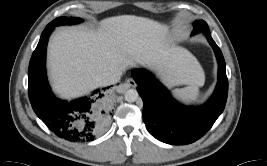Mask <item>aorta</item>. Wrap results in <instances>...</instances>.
Masks as SVG:
<instances>
[{
    "label": "aorta",
    "mask_w": 267,
    "mask_h": 166,
    "mask_svg": "<svg viewBox=\"0 0 267 166\" xmlns=\"http://www.w3.org/2000/svg\"><path fill=\"white\" fill-rule=\"evenodd\" d=\"M124 96L127 102H135L139 98V94L136 89H128Z\"/></svg>",
    "instance_id": "obj_1"
}]
</instances>
